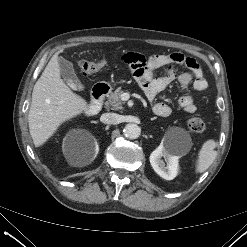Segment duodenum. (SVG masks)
Returning a JSON list of instances; mask_svg holds the SVG:
<instances>
[{"instance_id": "obj_1", "label": "duodenum", "mask_w": 247, "mask_h": 247, "mask_svg": "<svg viewBox=\"0 0 247 247\" xmlns=\"http://www.w3.org/2000/svg\"><path fill=\"white\" fill-rule=\"evenodd\" d=\"M110 87L107 84H96L92 89L91 102L86 110L89 116L95 115L102 107L105 96L109 93Z\"/></svg>"}]
</instances>
